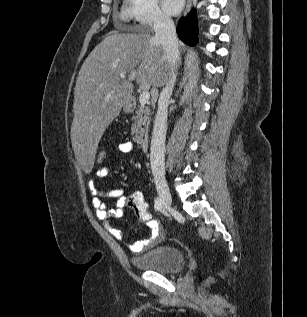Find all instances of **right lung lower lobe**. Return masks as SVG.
<instances>
[{
	"instance_id": "1",
	"label": "right lung lower lobe",
	"mask_w": 307,
	"mask_h": 317,
	"mask_svg": "<svg viewBox=\"0 0 307 317\" xmlns=\"http://www.w3.org/2000/svg\"><path fill=\"white\" fill-rule=\"evenodd\" d=\"M177 33L185 44L193 46L196 43L197 21L195 11H191L186 17L180 19Z\"/></svg>"
}]
</instances>
